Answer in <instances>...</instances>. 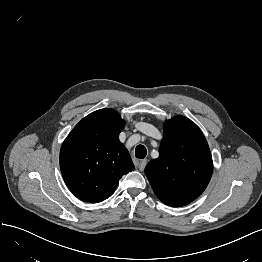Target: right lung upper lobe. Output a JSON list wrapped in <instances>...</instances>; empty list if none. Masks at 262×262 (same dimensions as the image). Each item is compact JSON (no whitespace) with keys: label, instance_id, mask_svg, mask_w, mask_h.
<instances>
[{"label":"right lung upper lobe","instance_id":"cb5924a9","mask_svg":"<svg viewBox=\"0 0 262 262\" xmlns=\"http://www.w3.org/2000/svg\"><path fill=\"white\" fill-rule=\"evenodd\" d=\"M125 121L105 108L83 118L60 150V169L70 191L79 199L98 203L110 197L119 179L134 169L119 141Z\"/></svg>","mask_w":262,"mask_h":262}]
</instances>
